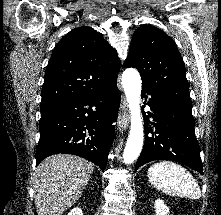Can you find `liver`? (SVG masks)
Returning a JSON list of instances; mask_svg holds the SVG:
<instances>
[{"instance_id": "obj_1", "label": "liver", "mask_w": 221, "mask_h": 215, "mask_svg": "<svg viewBox=\"0 0 221 215\" xmlns=\"http://www.w3.org/2000/svg\"><path fill=\"white\" fill-rule=\"evenodd\" d=\"M93 174V164L57 154L43 160L34 174V199L38 215H62L81 197Z\"/></svg>"}]
</instances>
